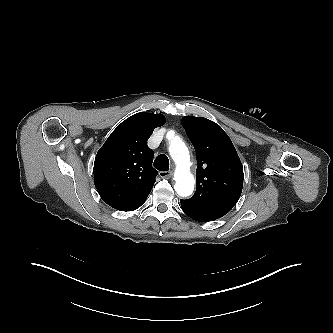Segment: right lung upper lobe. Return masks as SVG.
I'll return each mask as SVG.
<instances>
[{
  "instance_id": "right-lung-upper-lobe-1",
  "label": "right lung upper lobe",
  "mask_w": 333,
  "mask_h": 333,
  "mask_svg": "<svg viewBox=\"0 0 333 333\" xmlns=\"http://www.w3.org/2000/svg\"><path fill=\"white\" fill-rule=\"evenodd\" d=\"M165 121L162 114H134L99 149L94 183L105 203L120 211H133L146 201L158 174L152 167L153 151L146 142Z\"/></svg>"
}]
</instances>
